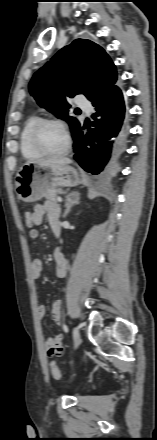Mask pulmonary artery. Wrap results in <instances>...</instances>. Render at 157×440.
Segmentation results:
<instances>
[{
	"label": "pulmonary artery",
	"mask_w": 157,
	"mask_h": 440,
	"mask_svg": "<svg viewBox=\"0 0 157 440\" xmlns=\"http://www.w3.org/2000/svg\"><path fill=\"white\" fill-rule=\"evenodd\" d=\"M76 104L79 107H81V108H83V109H85L87 111L91 110V105H90V103L87 101V99L84 96H78L77 99H76Z\"/></svg>",
	"instance_id": "e3ab8cb5"
}]
</instances>
